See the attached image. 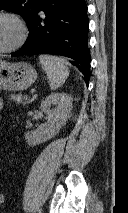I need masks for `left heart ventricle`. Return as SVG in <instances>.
I'll return each mask as SVG.
<instances>
[{
    "mask_svg": "<svg viewBox=\"0 0 128 213\" xmlns=\"http://www.w3.org/2000/svg\"><path fill=\"white\" fill-rule=\"evenodd\" d=\"M18 38V28L15 23L5 17H0V49L11 46Z\"/></svg>",
    "mask_w": 128,
    "mask_h": 213,
    "instance_id": "1",
    "label": "left heart ventricle"
}]
</instances>
